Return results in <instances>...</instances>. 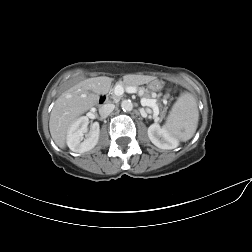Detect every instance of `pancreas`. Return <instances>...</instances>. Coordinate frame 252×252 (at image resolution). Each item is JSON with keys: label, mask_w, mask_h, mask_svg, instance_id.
Masks as SVG:
<instances>
[{"label": "pancreas", "mask_w": 252, "mask_h": 252, "mask_svg": "<svg viewBox=\"0 0 252 252\" xmlns=\"http://www.w3.org/2000/svg\"><path fill=\"white\" fill-rule=\"evenodd\" d=\"M120 84L121 83H119L118 85H120ZM111 96H112V98H113L114 101H118L121 98L120 96H118V95L115 94L114 90H111Z\"/></svg>", "instance_id": "cf45deb5"}]
</instances>
